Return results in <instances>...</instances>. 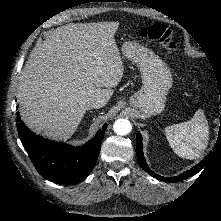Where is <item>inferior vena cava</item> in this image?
Listing matches in <instances>:
<instances>
[{
  "label": "inferior vena cava",
  "instance_id": "1",
  "mask_svg": "<svg viewBox=\"0 0 221 221\" xmlns=\"http://www.w3.org/2000/svg\"><path fill=\"white\" fill-rule=\"evenodd\" d=\"M103 106H104V104L100 100H89L85 104L86 110L93 109V108H101Z\"/></svg>",
  "mask_w": 221,
  "mask_h": 221
}]
</instances>
